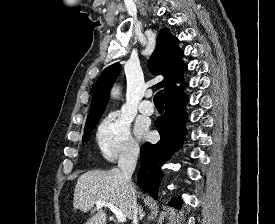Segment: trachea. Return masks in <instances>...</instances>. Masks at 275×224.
Instances as JSON below:
<instances>
[{"mask_svg": "<svg viewBox=\"0 0 275 224\" xmlns=\"http://www.w3.org/2000/svg\"><path fill=\"white\" fill-rule=\"evenodd\" d=\"M154 104L155 106H164V100H163V91H159L154 95Z\"/></svg>", "mask_w": 275, "mask_h": 224, "instance_id": "trachea-1", "label": "trachea"}]
</instances>
